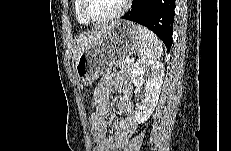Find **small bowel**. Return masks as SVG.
<instances>
[{
	"label": "small bowel",
	"instance_id": "c3829d8e",
	"mask_svg": "<svg viewBox=\"0 0 231 151\" xmlns=\"http://www.w3.org/2000/svg\"><path fill=\"white\" fill-rule=\"evenodd\" d=\"M113 90L122 95L117 103V111L124 117L113 121L115 135L112 137L107 132V122L111 105L110 93ZM94 107V112L90 116L94 151H121L136 131L130 84L117 76L103 78L95 90Z\"/></svg>",
	"mask_w": 231,
	"mask_h": 151
}]
</instances>
